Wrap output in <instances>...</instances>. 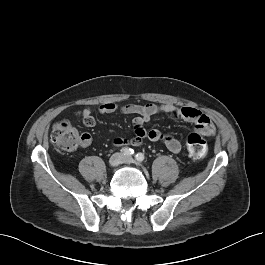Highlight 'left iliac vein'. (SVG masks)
<instances>
[{
  "instance_id": "left-iliac-vein-1",
  "label": "left iliac vein",
  "mask_w": 265,
  "mask_h": 265,
  "mask_svg": "<svg viewBox=\"0 0 265 265\" xmlns=\"http://www.w3.org/2000/svg\"><path fill=\"white\" fill-rule=\"evenodd\" d=\"M122 162L126 164H132L134 163V159L130 156H124Z\"/></svg>"
}]
</instances>
